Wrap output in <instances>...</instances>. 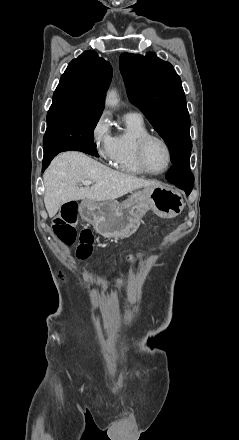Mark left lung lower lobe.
Instances as JSON below:
<instances>
[{
    "label": "left lung lower lobe",
    "instance_id": "left-lung-lower-lobe-1",
    "mask_svg": "<svg viewBox=\"0 0 239 440\" xmlns=\"http://www.w3.org/2000/svg\"><path fill=\"white\" fill-rule=\"evenodd\" d=\"M166 179L189 195L194 185V176L190 171L189 158L174 163Z\"/></svg>",
    "mask_w": 239,
    "mask_h": 440
}]
</instances>
